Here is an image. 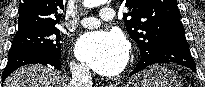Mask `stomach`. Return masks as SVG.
<instances>
[{
    "instance_id": "stomach-1",
    "label": "stomach",
    "mask_w": 205,
    "mask_h": 87,
    "mask_svg": "<svg viewBox=\"0 0 205 87\" xmlns=\"http://www.w3.org/2000/svg\"><path fill=\"white\" fill-rule=\"evenodd\" d=\"M126 87H181V82L171 70L152 66L135 74Z\"/></svg>"
}]
</instances>
